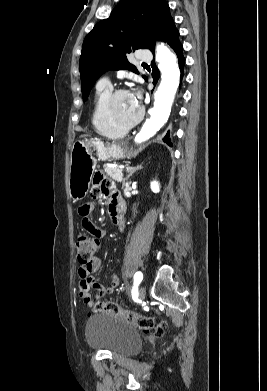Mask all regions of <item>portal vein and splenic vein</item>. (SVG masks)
<instances>
[{
	"label": "portal vein and splenic vein",
	"mask_w": 267,
	"mask_h": 391,
	"mask_svg": "<svg viewBox=\"0 0 267 391\" xmlns=\"http://www.w3.org/2000/svg\"><path fill=\"white\" fill-rule=\"evenodd\" d=\"M119 168L123 169V168H124V166H119Z\"/></svg>",
	"instance_id": "1"
}]
</instances>
